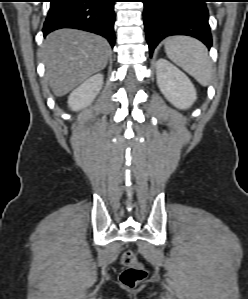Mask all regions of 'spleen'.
I'll return each instance as SVG.
<instances>
[{
	"label": "spleen",
	"instance_id": "obj_1",
	"mask_svg": "<svg viewBox=\"0 0 248 299\" xmlns=\"http://www.w3.org/2000/svg\"><path fill=\"white\" fill-rule=\"evenodd\" d=\"M165 51L171 61L201 85H208L212 76V64L203 43L191 37L173 36L166 39Z\"/></svg>",
	"mask_w": 248,
	"mask_h": 299
}]
</instances>
